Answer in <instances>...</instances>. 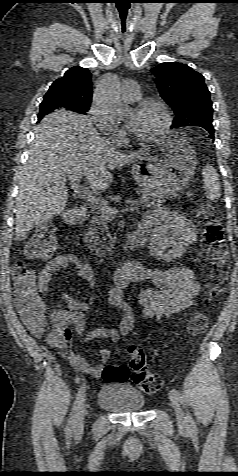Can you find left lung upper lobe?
Here are the masks:
<instances>
[{
	"label": "left lung upper lobe",
	"instance_id": "5c2ea615",
	"mask_svg": "<svg viewBox=\"0 0 238 476\" xmlns=\"http://www.w3.org/2000/svg\"><path fill=\"white\" fill-rule=\"evenodd\" d=\"M160 96L174 110L171 128L213 127L210 92L202 74L182 63H161L152 70Z\"/></svg>",
	"mask_w": 238,
	"mask_h": 476
}]
</instances>
